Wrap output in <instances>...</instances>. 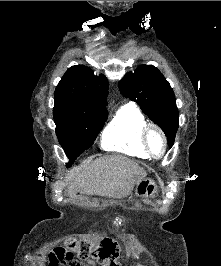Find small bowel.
Here are the masks:
<instances>
[{"label": "small bowel", "instance_id": "1", "mask_svg": "<svg viewBox=\"0 0 221 266\" xmlns=\"http://www.w3.org/2000/svg\"><path fill=\"white\" fill-rule=\"evenodd\" d=\"M51 250L54 252L49 253L48 266H93L92 262L80 263V258H67L76 257V252H57L67 251V246H52Z\"/></svg>", "mask_w": 221, "mask_h": 266}]
</instances>
